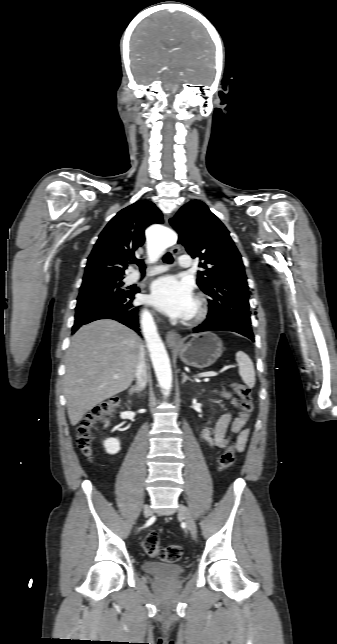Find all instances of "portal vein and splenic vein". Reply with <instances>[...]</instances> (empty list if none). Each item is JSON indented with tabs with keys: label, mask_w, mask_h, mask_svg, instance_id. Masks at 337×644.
Wrapping results in <instances>:
<instances>
[{
	"label": "portal vein and splenic vein",
	"mask_w": 337,
	"mask_h": 644,
	"mask_svg": "<svg viewBox=\"0 0 337 644\" xmlns=\"http://www.w3.org/2000/svg\"><path fill=\"white\" fill-rule=\"evenodd\" d=\"M217 375H218L217 372L211 371V372L201 373V374L198 375V377H214V376H217ZM115 378H118V377L115 376Z\"/></svg>",
	"instance_id": "portal-vein-and-splenic-vein-1"
}]
</instances>
